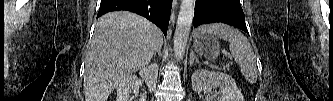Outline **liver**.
<instances>
[{
  "mask_svg": "<svg viewBox=\"0 0 333 101\" xmlns=\"http://www.w3.org/2000/svg\"><path fill=\"white\" fill-rule=\"evenodd\" d=\"M162 45L161 30L144 17L129 11L100 17L85 61L86 101H107L119 83L148 65Z\"/></svg>",
  "mask_w": 333,
  "mask_h": 101,
  "instance_id": "1",
  "label": "liver"
}]
</instances>
